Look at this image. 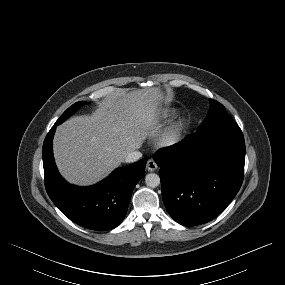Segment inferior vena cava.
<instances>
[{"mask_svg": "<svg viewBox=\"0 0 285 285\" xmlns=\"http://www.w3.org/2000/svg\"><path fill=\"white\" fill-rule=\"evenodd\" d=\"M142 157V153L139 151H133L131 153H129L126 158H125V162L127 163H133L138 161L140 158Z\"/></svg>", "mask_w": 285, "mask_h": 285, "instance_id": "1", "label": "inferior vena cava"}]
</instances>
